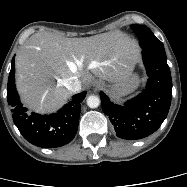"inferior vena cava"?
I'll use <instances>...</instances> for the list:
<instances>
[{
	"instance_id": "obj_1",
	"label": "inferior vena cava",
	"mask_w": 187,
	"mask_h": 187,
	"mask_svg": "<svg viewBox=\"0 0 187 187\" xmlns=\"http://www.w3.org/2000/svg\"><path fill=\"white\" fill-rule=\"evenodd\" d=\"M66 88L72 93H76L81 90V81L76 76H72L67 79Z\"/></svg>"
}]
</instances>
